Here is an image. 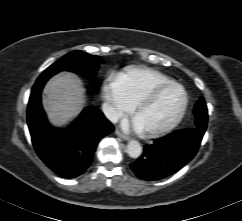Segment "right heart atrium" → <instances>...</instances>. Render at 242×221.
<instances>
[{"label": "right heart atrium", "instance_id": "1", "mask_svg": "<svg viewBox=\"0 0 242 221\" xmlns=\"http://www.w3.org/2000/svg\"><path fill=\"white\" fill-rule=\"evenodd\" d=\"M103 98L109 105L107 116L112 121L119 119L133 107L123 94L115 79H110L104 84Z\"/></svg>", "mask_w": 242, "mask_h": 221}]
</instances>
